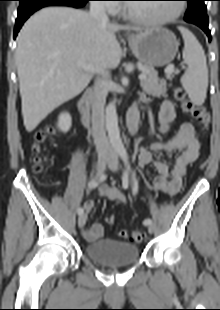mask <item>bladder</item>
<instances>
[{
    "instance_id": "obj_1",
    "label": "bladder",
    "mask_w": 220,
    "mask_h": 310,
    "mask_svg": "<svg viewBox=\"0 0 220 310\" xmlns=\"http://www.w3.org/2000/svg\"><path fill=\"white\" fill-rule=\"evenodd\" d=\"M139 246L110 238H102L85 246V255L102 266H127L139 259Z\"/></svg>"
}]
</instances>
